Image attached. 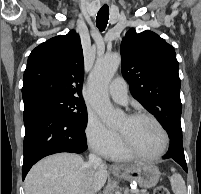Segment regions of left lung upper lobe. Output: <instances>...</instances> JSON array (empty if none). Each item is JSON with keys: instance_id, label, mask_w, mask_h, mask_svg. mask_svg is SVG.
<instances>
[{"instance_id": "5c2ea615", "label": "left lung upper lobe", "mask_w": 201, "mask_h": 194, "mask_svg": "<svg viewBox=\"0 0 201 194\" xmlns=\"http://www.w3.org/2000/svg\"><path fill=\"white\" fill-rule=\"evenodd\" d=\"M122 74L133 97L165 127L180 121L181 81L174 48L152 31L129 30L121 43Z\"/></svg>"}]
</instances>
